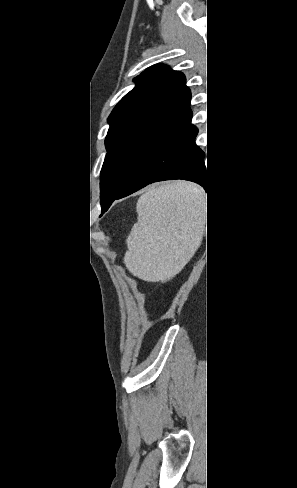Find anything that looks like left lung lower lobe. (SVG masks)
I'll list each match as a JSON object with an SVG mask.
<instances>
[{
    "label": "left lung lower lobe",
    "instance_id": "obj_1",
    "mask_svg": "<svg viewBox=\"0 0 297 488\" xmlns=\"http://www.w3.org/2000/svg\"><path fill=\"white\" fill-rule=\"evenodd\" d=\"M197 133V128L189 124L173 136L140 167L123 190L103 208L102 213L115 199L126 197L153 182L184 179L208 189L209 172L204 165V152L194 142Z\"/></svg>",
    "mask_w": 297,
    "mask_h": 488
}]
</instances>
